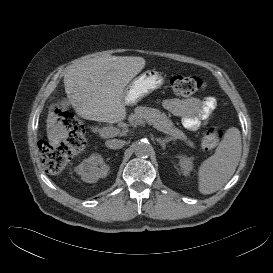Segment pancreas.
<instances>
[{
  "label": "pancreas",
  "mask_w": 273,
  "mask_h": 273,
  "mask_svg": "<svg viewBox=\"0 0 273 273\" xmlns=\"http://www.w3.org/2000/svg\"><path fill=\"white\" fill-rule=\"evenodd\" d=\"M139 120H145L152 124L157 130L169 135L172 140H183L187 146L195 148L194 143L173 125V122L165 113L160 112L158 109L143 106L136 107L134 113L129 116V123L135 125Z\"/></svg>",
  "instance_id": "cf45deb5"
}]
</instances>
